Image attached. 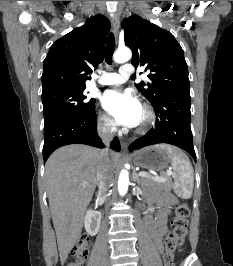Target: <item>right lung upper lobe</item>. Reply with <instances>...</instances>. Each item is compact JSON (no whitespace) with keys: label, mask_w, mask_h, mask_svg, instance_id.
<instances>
[{"label":"right lung upper lobe","mask_w":233,"mask_h":266,"mask_svg":"<svg viewBox=\"0 0 233 266\" xmlns=\"http://www.w3.org/2000/svg\"><path fill=\"white\" fill-rule=\"evenodd\" d=\"M110 21L101 15L56 40L43 65L42 95L57 90L85 88L86 80L104 59V45Z\"/></svg>","instance_id":"cb5924a9"}]
</instances>
